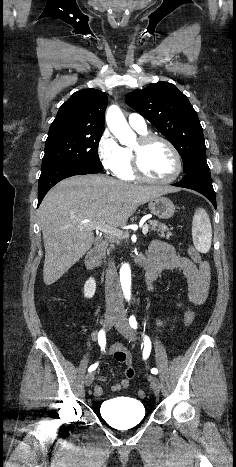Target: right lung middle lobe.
Listing matches in <instances>:
<instances>
[{"mask_svg": "<svg viewBox=\"0 0 236 467\" xmlns=\"http://www.w3.org/2000/svg\"><path fill=\"white\" fill-rule=\"evenodd\" d=\"M102 133L103 130L50 128L42 168L57 162L72 161L103 171L98 157Z\"/></svg>", "mask_w": 236, "mask_h": 467, "instance_id": "1", "label": "right lung middle lobe"}]
</instances>
